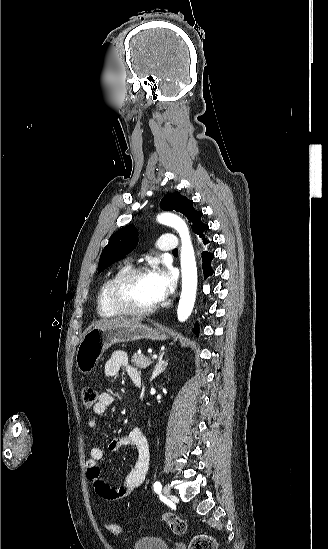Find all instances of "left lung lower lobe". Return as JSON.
I'll list each match as a JSON object with an SVG mask.
<instances>
[{
    "mask_svg": "<svg viewBox=\"0 0 328 549\" xmlns=\"http://www.w3.org/2000/svg\"><path fill=\"white\" fill-rule=\"evenodd\" d=\"M201 238L203 240L204 245H207L208 243H210V241L207 238H205V236H203ZM213 257H214V253H212V252H209V251H203L202 252V261H203L202 268H203L204 278L205 279L208 276H211L213 274V269L211 267V261L213 260ZM194 331L197 335H199L198 322H196V324H195Z\"/></svg>",
    "mask_w": 328,
    "mask_h": 549,
    "instance_id": "1",
    "label": "left lung lower lobe"
}]
</instances>
